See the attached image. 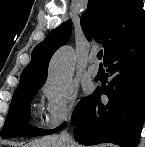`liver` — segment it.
I'll return each mask as SVG.
<instances>
[{
	"mask_svg": "<svg viewBox=\"0 0 145 147\" xmlns=\"http://www.w3.org/2000/svg\"><path fill=\"white\" fill-rule=\"evenodd\" d=\"M23 147H64V144L60 136L51 135L34 140L29 144L24 145ZM73 147H80V145L74 143Z\"/></svg>",
	"mask_w": 145,
	"mask_h": 147,
	"instance_id": "liver-1",
	"label": "liver"
}]
</instances>
